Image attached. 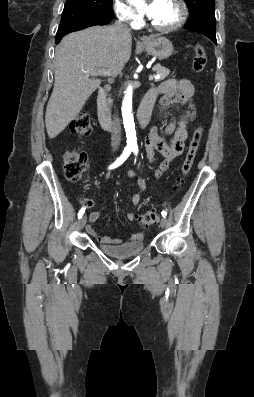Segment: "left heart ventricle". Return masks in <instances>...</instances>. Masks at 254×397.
I'll list each match as a JSON object with an SVG mask.
<instances>
[{
    "instance_id": "left-heart-ventricle-1",
    "label": "left heart ventricle",
    "mask_w": 254,
    "mask_h": 397,
    "mask_svg": "<svg viewBox=\"0 0 254 397\" xmlns=\"http://www.w3.org/2000/svg\"><path fill=\"white\" fill-rule=\"evenodd\" d=\"M180 15V10L173 0H160L151 20L160 26H167L175 23Z\"/></svg>"
}]
</instances>
